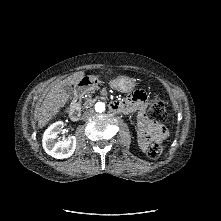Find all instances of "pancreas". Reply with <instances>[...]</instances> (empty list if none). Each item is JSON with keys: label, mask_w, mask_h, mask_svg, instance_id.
<instances>
[{"label": "pancreas", "mask_w": 221, "mask_h": 221, "mask_svg": "<svg viewBox=\"0 0 221 221\" xmlns=\"http://www.w3.org/2000/svg\"><path fill=\"white\" fill-rule=\"evenodd\" d=\"M93 103H94V99L89 98V99H87V101L84 102V106L90 107L93 105Z\"/></svg>", "instance_id": "cf45deb5"}]
</instances>
